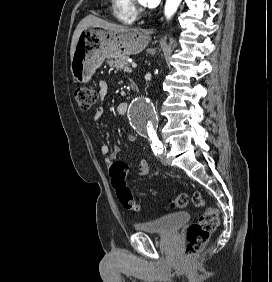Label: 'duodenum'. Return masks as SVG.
<instances>
[{
  "mask_svg": "<svg viewBox=\"0 0 272 282\" xmlns=\"http://www.w3.org/2000/svg\"><path fill=\"white\" fill-rule=\"evenodd\" d=\"M130 88H131V90H132L133 92L136 91V85H135L134 83H131ZM128 106H129V103H128V102H122V103L120 104L121 109H127Z\"/></svg>",
  "mask_w": 272,
  "mask_h": 282,
  "instance_id": "410a0bca",
  "label": "duodenum"
}]
</instances>
